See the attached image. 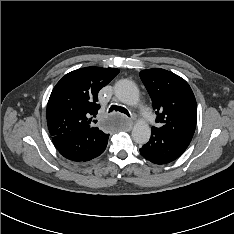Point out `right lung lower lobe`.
<instances>
[{
    "instance_id": "obj_1",
    "label": "right lung lower lobe",
    "mask_w": 234,
    "mask_h": 234,
    "mask_svg": "<svg viewBox=\"0 0 234 234\" xmlns=\"http://www.w3.org/2000/svg\"><path fill=\"white\" fill-rule=\"evenodd\" d=\"M109 134L98 128H83L52 137L57 150L67 159L80 162L91 160L104 152Z\"/></svg>"
}]
</instances>
